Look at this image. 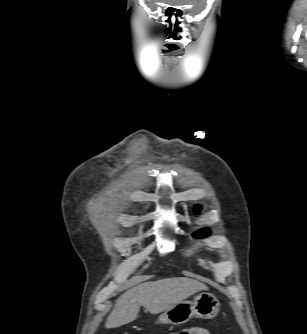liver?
<instances>
[{"label": "liver", "instance_id": "6515ba94", "mask_svg": "<svg viewBox=\"0 0 307 334\" xmlns=\"http://www.w3.org/2000/svg\"><path fill=\"white\" fill-rule=\"evenodd\" d=\"M202 290H208V287L187 277L139 284L116 300L105 327L116 328L134 321L138 317L140 306L145 307L151 314H158Z\"/></svg>", "mask_w": 307, "mask_h": 334}]
</instances>
